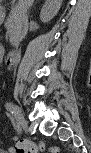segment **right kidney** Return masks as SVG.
<instances>
[{
    "label": "right kidney",
    "mask_w": 91,
    "mask_h": 153,
    "mask_svg": "<svg viewBox=\"0 0 91 153\" xmlns=\"http://www.w3.org/2000/svg\"><path fill=\"white\" fill-rule=\"evenodd\" d=\"M59 7L47 1L40 12V20L43 23L49 22L58 12Z\"/></svg>",
    "instance_id": "obj_1"
}]
</instances>
